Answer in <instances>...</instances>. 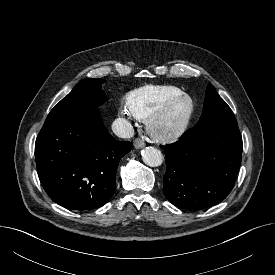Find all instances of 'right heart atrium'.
<instances>
[{
	"mask_svg": "<svg viewBox=\"0 0 275 275\" xmlns=\"http://www.w3.org/2000/svg\"><path fill=\"white\" fill-rule=\"evenodd\" d=\"M122 112L125 113V114H127V113H128V110L123 109Z\"/></svg>",
	"mask_w": 275,
	"mask_h": 275,
	"instance_id": "d8ad5b80",
	"label": "right heart atrium"
}]
</instances>
